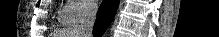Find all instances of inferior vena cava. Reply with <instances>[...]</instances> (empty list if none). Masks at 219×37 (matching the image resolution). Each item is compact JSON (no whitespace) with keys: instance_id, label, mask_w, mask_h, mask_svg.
I'll use <instances>...</instances> for the list:
<instances>
[{"instance_id":"obj_1","label":"inferior vena cava","mask_w":219,"mask_h":37,"mask_svg":"<svg viewBox=\"0 0 219 37\" xmlns=\"http://www.w3.org/2000/svg\"><path fill=\"white\" fill-rule=\"evenodd\" d=\"M97 10L98 7L96 5L86 8L84 12L83 22L78 31V35L80 37H92V31L96 20Z\"/></svg>"}]
</instances>
